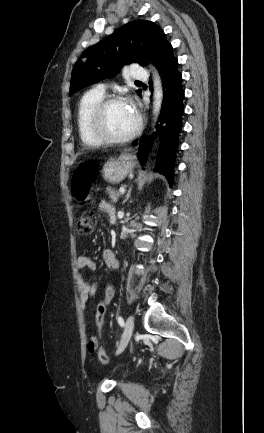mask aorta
Here are the masks:
<instances>
[{"mask_svg": "<svg viewBox=\"0 0 264 433\" xmlns=\"http://www.w3.org/2000/svg\"><path fill=\"white\" fill-rule=\"evenodd\" d=\"M153 82H154L153 115H154V122H156L162 105L163 89H162L161 79L158 73L154 69H153Z\"/></svg>", "mask_w": 264, "mask_h": 433, "instance_id": "obj_1", "label": "aorta"}]
</instances>
